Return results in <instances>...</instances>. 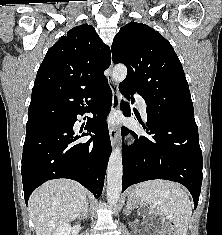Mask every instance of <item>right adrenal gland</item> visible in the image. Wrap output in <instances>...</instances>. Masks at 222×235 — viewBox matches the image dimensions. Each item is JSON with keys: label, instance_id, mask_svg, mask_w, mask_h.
<instances>
[{"label": "right adrenal gland", "instance_id": "1", "mask_svg": "<svg viewBox=\"0 0 222 235\" xmlns=\"http://www.w3.org/2000/svg\"><path fill=\"white\" fill-rule=\"evenodd\" d=\"M88 214H89V209H88V200H87L82 212L79 215V218H87Z\"/></svg>", "mask_w": 222, "mask_h": 235}]
</instances>
